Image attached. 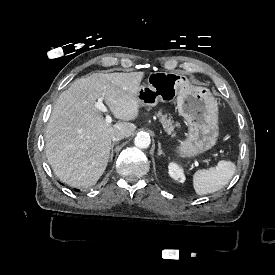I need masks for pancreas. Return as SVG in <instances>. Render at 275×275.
Wrapping results in <instances>:
<instances>
[{"instance_id": "1", "label": "pancreas", "mask_w": 275, "mask_h": 275, "mask_svg": "<svg viewBox=\"0 0 275 275\" xmlns=\"http://www.w3.org/2000/svg\"><path fill=\"white\" fill-rule=\"evenodd\" d=\"M157 116L160 117V121L163 124L164 131L170 134L173 130V126H171V120L167 119V114H164L162 111H158Z\"/></svg>"}]
</instances>
